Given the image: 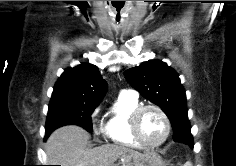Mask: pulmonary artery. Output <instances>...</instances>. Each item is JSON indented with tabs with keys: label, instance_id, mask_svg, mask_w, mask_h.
<instances>
[{
	"label": "pulmonary artery",
	"instance_id": "1",
	"mask_svg": "<svg viewBox=\"0 0 236 166\" xmlns=\"http://www.w3.org/2000/svg\"><path fill=\"white\" fill-rule=\"evenodd\" d=\"M120 95H129V96L137 97L136 91L130 90V89H128V90H122L121 93H120Z\"/></svg>",
	"mask_w": 236,
	"mask_h": 166
}]
</instances>
